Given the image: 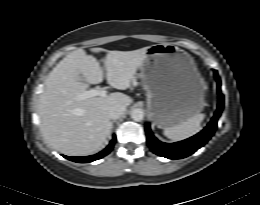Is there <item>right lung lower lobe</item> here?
Listing matches in <instances>:
<instances>
[{"label":"right lung lower lobe","instance_id":"right-lung-lower-lobe-1","mask_svg":"<svg viewBox=\"0 0 260 205\" xmlns=\"http://www.w3.org/2000/svg\"><path fill=\"white\" fill-rule=\"evenodd\" d=\"M115 142H116V136L114 135L110 144L103 151H101L98 154L86 156V157H68V156H64V157L71 161L78 162V163L92 162V161L98 160V159L104 157L105 155H107L112 150Z\"/></svg>","mask_w":260,"mask_h":205}]
</instances>
